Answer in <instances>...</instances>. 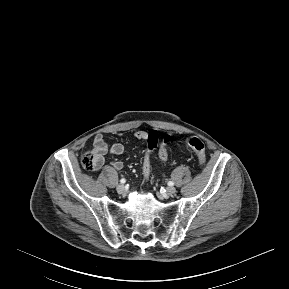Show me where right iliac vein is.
Segmentation results:
<instances>
[{"label": "right iliac vein", "instance_id": "1", "mask_svg": "<svg viewBox=\"0 0 289 289\" xmlns=\"http://www.w3.org/2000/svg\"><path fill=\"white\" fill-rule=\"evenodd\" d=\"M116 190L119 194H123L125 192V186L123 184H119L117 187H116Z\"/></svg>", "mask_w": 289, "mask_h": 289}]
</instances>
